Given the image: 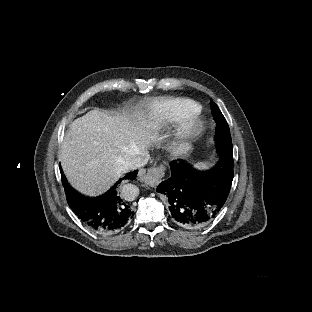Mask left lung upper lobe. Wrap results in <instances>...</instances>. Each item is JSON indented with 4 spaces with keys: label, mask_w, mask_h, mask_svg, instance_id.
I'll use <instances>...</instances> for the list:
<instances>
[{
    "label": "left lung upper lobe",
    "mask_w": 312,
    "mask_h": 312,
    "mask_svg": "<svg viewBox=\"0 0 312 312\" xmlns=\"http://www.w3.org/2000/svg\"><path fill=\"white\" fill-rule=\"evenodd\" d=\"M210 104L213 107V117L217 123L215 135L217 149L233 150L228 123L218 106L214 102Z\"/></svg>",
    "instance_id": "obj_1"
}]
</instances>
